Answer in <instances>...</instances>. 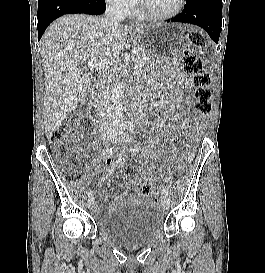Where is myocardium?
I'll list each match as a JSON object with an SVG mask.
<instances>
[{
  "label": "myocardium",
  "instance_id": "obj_1",
  "mask_svg": "<svg viewBox=\"0 0 265 273\" xmlns=\"http://www.w3.org/2000/svg\"><path fill=\"white\" fill-rule=\"evenodd\" d=\"M184 6H185V0H179L178 6L172 12L166 13V14H155V13L149 12L145 8L144 0H139L140 13L142 17L149 20H154V21H164V20L172 19L182 12V10L184 9Z\"/></svg>",
  "mask_w": 265,
  "mask_h": 273
}]
</instances>
